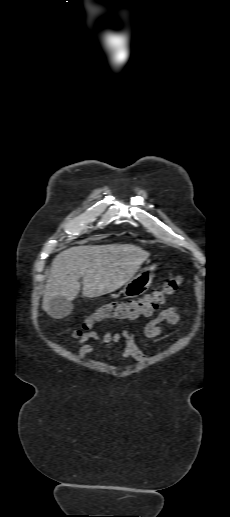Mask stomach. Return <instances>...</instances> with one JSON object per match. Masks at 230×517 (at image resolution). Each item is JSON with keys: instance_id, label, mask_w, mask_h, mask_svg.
Listing matches in <instances>:
<instances>
[{"instance_id": "1", "label": "stomach", "mask_w": 230, "mask_h": 517, "mask_svg": "<svg viewBox=\"0 0 230 517\" xmlns=\"http://www.w3.org/2000/svg\"><path fill=\"white\" fill-rule=\"evenodd\" d=\"M156 263L148 261L139 273H137L130 281H128L122 289V293L126 298H134L142 295L152 283Z\"/></svg>"}]
</instances>
